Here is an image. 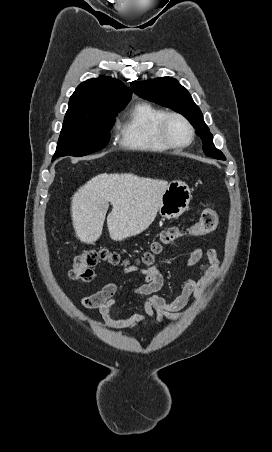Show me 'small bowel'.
Segmentation results:
<instances>
[{"instance_id": "obj_1", "label": "small bowel", "mask_w": 272, "mask_h": 452, "mask_svg": "<svg viewBox=\"0 0 272 452\" xmlns=\"http://www.w3.org/2000/svg\"><path fill=\"white\" fill-rule=\"evenodd\" d=\"M204 255L208 259L209 267L198 280L186 279L180 295L173 301H166L157 294L164 284V275L160 267L151 262L146 266L127 265L123 269L125 274L134 273L141 276L144 279L142 284L129 288L124 293L120 292L116 283L106 284L99 291L84 297L82 305L86 309L97 310L102 324L117 330H131L149 318H155L157 324L166 319H178L190 299L199 297L206 290L208 283L220 272V257L214 249L204 252L199 247L194 248L185 261V267L197 265ZM125 294L144 297V313H134L126 319L112 317V307Z\"/></svg>"}]
</instances>
